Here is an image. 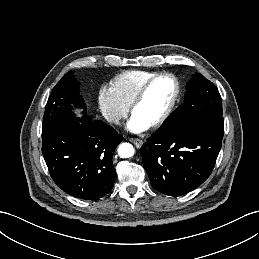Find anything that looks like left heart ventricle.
<instances>
[{"label":"left heart ventricle","mask_w":259,"mask_h":259,"mask_svg":"<svg viewBox=\"0 0 259 259\" xmlns=\"http://www.w3.org/2000/svg\"><path fill=\"white\" fill-rule=\"evenodd\" d=\"M174 94V84L169 78L156 80L143 100L136 106L134 115L151 125L166 110Z\"/></svg>","instance_id":"left-heart-ventricle-1"}]
</instances>
